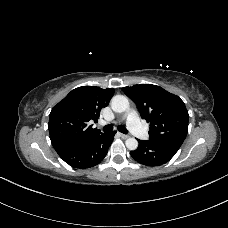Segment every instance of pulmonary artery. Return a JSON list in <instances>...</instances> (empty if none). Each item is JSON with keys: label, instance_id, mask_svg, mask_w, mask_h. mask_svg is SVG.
<instances>
[{"label": "pulmonary artery", "instance_id": "e3ab8cb5", "mask_svg": "<svg viewBox=\"0 0 228 228\" xmlns=\"http://www.w3.org/2000/svg\"><path fill=\"white\" fill-rule=\"evenodd\" d=\"M126 123L128 128L140 139H148L149 133L140 123L138 114L135 110H131L126 116Z\"/></svg>", "mask_w": 228, "mask_h": 228}]
</instances>
